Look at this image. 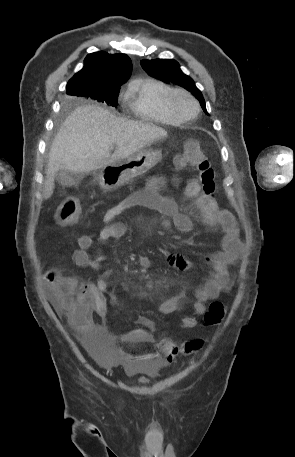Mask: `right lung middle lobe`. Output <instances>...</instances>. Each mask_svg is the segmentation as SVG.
Segmentation results:
<instances>
[{"label": "right lung middle lobe", "instance_id": "1", "mask_svg": "<svg viewBox=\"0 0 295 457\" xmlns=\"http://www.w3.org/2000/svg\"><path fill=\"white\" fill-rule=\"evenodd\" d=\"M118 88H102V89H91L82 85H74L69 95L89 97L98 102L106 103L110 106H117V99L119 95Z\"/></svg>", "mask_w": 295, "mask_h": 457}]
</instances>
